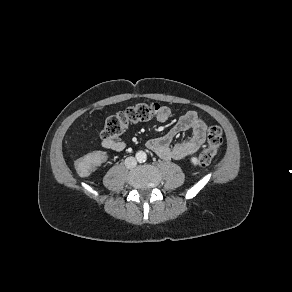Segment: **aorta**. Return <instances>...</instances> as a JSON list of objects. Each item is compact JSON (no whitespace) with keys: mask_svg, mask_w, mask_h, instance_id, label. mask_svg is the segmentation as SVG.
I'll use <instances>...</instances> for the list:
<instances>
[{"mask_svg":"<svg viewBox=\"0 0 292 292\" xmlns=\"http://www.w3.org/2000/svg\"><path fill=\"white\" fill-rule=\"evenodd\" d=\"M136 158L139 162H145V160L147 159V155L144 151H138L136 153Z\"/></svg>","mask_w":292,"mask_h":292,"instance_id":"aorta-1","label":"aorta"}]
</instances>
